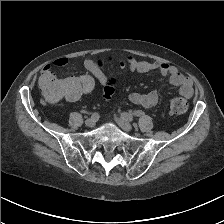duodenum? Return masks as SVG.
<instances>
[{"instance_id":"410a0bca","label":"duodenum","mask_w":224,"mask_h":224,"mask_svg":"<svg viewBox=\"0 0 224 224\" xmlns=\"http://www.w3.org/2000/svg\"><path fill=\"white\" fill-rule=\"evenodd\" d=\"M52 86H57L56 82L52 83Z\"/></svg>"}]
</instances>
